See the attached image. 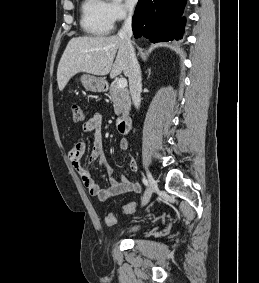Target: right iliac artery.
<instances>
[{
	"mask_svg": "<svg viewBox=\"0 0 259 283\" xmlns=\"http://www.w3.org/2000/svg\"><path fill=\"white\" fill-rule=\"evenodd\" d=\"M142 182H143V184H144L145 186H148V181H147V179L143 178V179H142Z\"/></svg>",
	"mask_w": 259,
	"mask_h": 283,
	"instance_id": "right-iliac-artery-1",
	"label": "right iliac artery"
}]
</instances>
